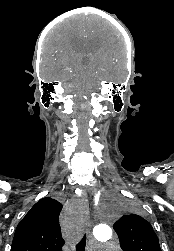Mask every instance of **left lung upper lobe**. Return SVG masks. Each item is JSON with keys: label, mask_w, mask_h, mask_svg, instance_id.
Listing matches in <instances>:
<instances>
[{"label": "left lung upper lobe", "mask_w": 174, "mask_h": 251, "mask_svg": "<svg viewBox=\"0 0 174 251\" xmlns=\"http://www.w3.org/2000/svg\"><path fill=\"white\" fill-rule=\"evenodd\" d=\"M124 251H162L152 226L136 214L126 215L114 224Z\"/></svg>", "instance_id": "left-lung-upper-lobe-1"}]
</instances>
